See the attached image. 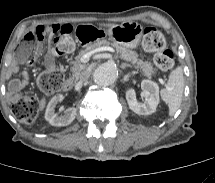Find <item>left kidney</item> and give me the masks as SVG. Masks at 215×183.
<instances>
[{
  "mask_svg": "<svg viewBox=\"0 0 215 183\" xmlns=\"http://www.w3.org/2000/svg\"><path fill=\"white\" fill-rule=\"evenodd\" d=\"M141 88L145 98L144 103H139L136 99V93L133 88L126 91V100L129 108L139 115H150L156 111L159 104V87L151 80H143Z\"/></svg>",
  "mask_w": 215,
  "mask_h": 183,
  "instance_id": "obj_1",
  "label": "left kidney"
}]
</instances>
